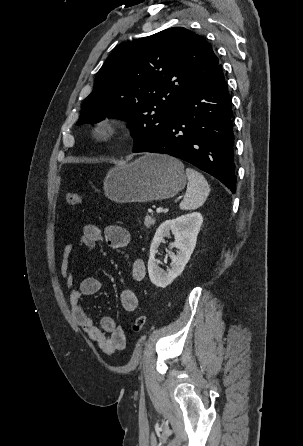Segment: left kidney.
I'll return each mask as SVG.
<instances>
[{
	"instance_id": "left-kidney-1",
	"label": "left kidney",
	"mask_w": 303,
	"mask_h": 446,
	"mask_svg": "<svg viewBox=\"0 0 303 446\" xmlns=\"http://www.w3.org/2000/svg\"><path fill=\"white\" fill-rule=\"evenodd\" d=\"M202 223V214L192 212L172 220H166L158 227L150 246L148 260V274L154 285L165 288L183 272L196 246ZM170 231L173 233L175 241L169 247L170 249L175 247L177 254L169 252L171 269L165 272L157 265L155 255L160 243L164 240L163 238L170 236Z\"/></svg>"
}]
</instances>
